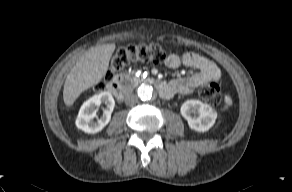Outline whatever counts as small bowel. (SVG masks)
Here are the masks:
<instances>
[{"label":"small bowel","instance_id":"obj_1","mask_svg":"<svg viewBox=\"0 0 292 192\" xmlns=\"http://www.w3.org/2000/svg\"><path fill=\"white\" fill-rule=\"evenodd\" d=\"M165 64L171 69L186 66L198 71L193 75L170 81L168 83L170 86V94L165 98H170L176 94H189L200 86L208 83L218 84L221 82V71L219 67L213 61L193 52L170 54L166 58ZM230 104L231 98L229 95H226L225 105L229 106Z\"/></svg>","mask_w":292,"mask_h":192}]
</instances>
